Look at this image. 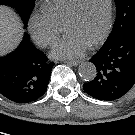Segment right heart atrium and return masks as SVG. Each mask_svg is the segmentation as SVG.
Listing matches in <instances>:
<instances>
[{
  "mask_svg": "<svg viewBox=\"0 0 135 135\" xmlns=\"http://www.w3.org/2000/svg\"><path fill=\"white\" fill-rule=\"evenodd\" d=\"M28 32L41 47H51L58 40V26L44 12H36L28 21Z\"/></svg>",
  "mask_w": 135,
  "mask_h": 135,
  "instance_id": "1",
  "label": "right heart atrium"
}]
</instances>
